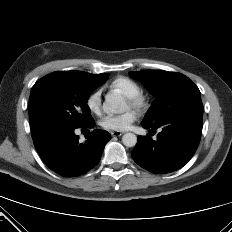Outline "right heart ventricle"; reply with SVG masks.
Wrapping results in <instances>:
<instances>
[{"label":"right heart ventricle","mask_w":232,"mask_h":232,"mask_svg":"<svg viewBox=\"0 0 232 232\" xmlns=\"http://www.w3.org/2000/svg\"><path fill=\"white\" fill-rule=\"evenodd\" d=\"M109 88L112 91H119L125 97L135 96L142 92L139 83L126 76H118L113 79L109 84Z\"/></svg>","instance_id":"1"}]
</instances>
